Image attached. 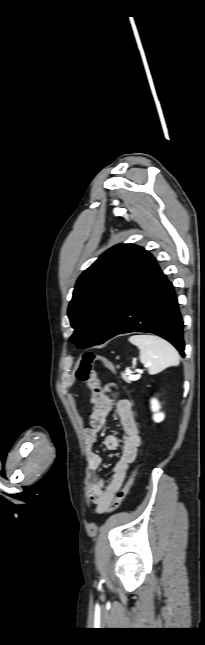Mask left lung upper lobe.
<instances>
[{"instance_id": "5c2ea615", "label": "left lung upper lobe", "mask_w": 205, "mask_h": 645, "mask_svg": "<svg viewBox=\"0 0 205 645\" xmlns=\"http://www.w3.org/2000/svg\"><path fill=\"white\" fill-rule=\"evenodd\" d=\"M142 248L119 244L101 255L77 280L68 316L79 348L102 344L113 321L119 295Z\"/></svg>"}]
</instances>
